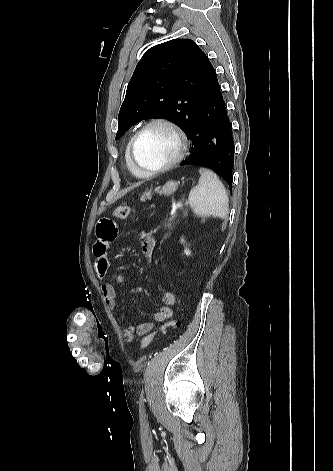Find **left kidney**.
I'll use <instances>...</instances> for the list:
<instances>
[{"label":"left kidney","mask_w":333,"mask_h":471,"mask_svg":"<svg viewBox=\"0 0 333 471\" xmlns=\"http://www.w3.org/2000/svg\"><path fill=\"white\" fill-rule=\"evenodd\" d=\"M181 243H184V239H183V238L181 239ZM184 253H185L187 256H189L191 252H190V250H189L188 248H185Z\"/></svg>","instance_id":"obj_1"}]
</instances>
